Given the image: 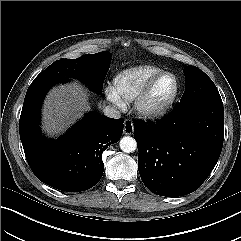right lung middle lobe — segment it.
Masks as SVG:
<instances>
[{
  "label": "right lung middle lobe",
  "instance_id": "obj_1",
  "mask_svg": "<svg viewBox=\"0 0 241 241\" xmlns=\"http://www.w3.org/2000/svg\"><path fill=\"white\" fill-rule=\"evenodd\" d=\"M109 61L110 56L106 52L86 54L78 59H60L41 72L32 84L75 78L85 83L90 90L101 94Z\"/></svg>",
  "mask_w": 241,
  "mask_h": 241
}]
</instances>
